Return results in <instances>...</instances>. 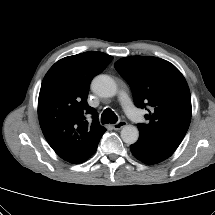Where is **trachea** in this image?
<instances>
[{
	"label": "trachea",
	"mask_w": 215,
	"mask_h": 215,
	"mask_svg": "<svg viewBox=\"0 0 215 215\" xmlns=\"http://www.w3.org/2000/svg\"><path fill=\"white\" fill-rule=\"evenodd\" d=\"M117 120L118 117L110 108L105 109L101 115L102 124L116 123Z\"/></svg>",
	"instance_id": "trachea-1"
}]
</instances>
